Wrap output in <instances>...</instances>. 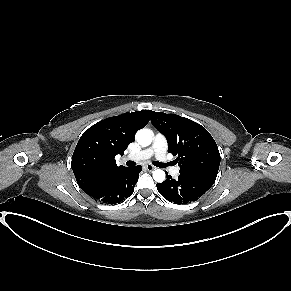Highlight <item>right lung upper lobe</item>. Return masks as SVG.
Instances as JSON below:
<instances>
[{
  "mask_svg": "<svg viewBox=\"0 0 291 291\" xmlns=\"http://www.w3.org/2000/svg\"><path fill=\"white\" fill-rule=\"evenodd\" d=\"M151 110L124 113L104 119L87 129L79 139L71 166L79 187L88 192L127 168L117 166L135 133L149 122Z\"/></svg>",
  "mask_w": 291,
  "mask_h": 291,
  "instance_id": "1",
  "label": "right lung upper lobe"
}]
</instances>
